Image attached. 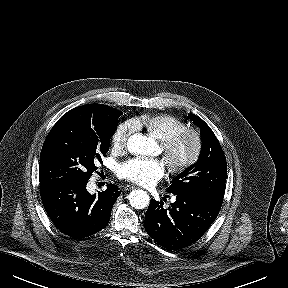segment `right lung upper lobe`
Instances as JSON below:
<instances>
[{
  "label": "right lung upper lobe",
  "mask_w": 288,
  "mask_h": 288,
  "mask_svg": "<svg viewBox=\"0 0 288 288\" xmlns=\"http://www.w3.org/2000/svg\"><path fill=\"white\" fill-rule=\"evenodd\" d=\"M98 105H100V104H87V105L76 107L74 109H86V110L95 111L97 109Z\"/></svg>",
  "instance_id": "right-lung-upper-lobe-1"
}]
</instances>
